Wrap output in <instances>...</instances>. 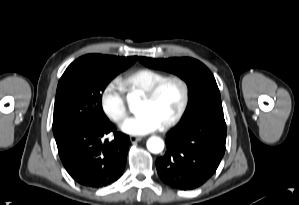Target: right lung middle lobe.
Instances as JSON below:
<instances>
[{
	"instance_id": "obj_1",
	"label": "right lung middle lobe",
	"mask_w": 299,
	"mask_h": 205,
	"mask_svg": "<svg viewBox=\"0 0 299 205\" xmlns=\"http://www.w3.org/2000/svg\"><path fill=\"white\" fill-rule=\"evenodd\" d=\"M130 63L104 59L75 60L62 75L56 92L53 133L56 141L85 124L106 123L101 93Z\"/></svg>"
}]
</instances>
